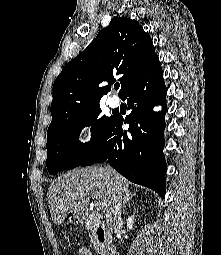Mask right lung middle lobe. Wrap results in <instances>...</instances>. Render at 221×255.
<instances>
[{
    "mask_svg": "<svg viewBox=\"0 0 221 255\" xmlns=\"http://www.w3.org/2000/svg\"><path fill=\"white\" fill-rule=\"evenodd\" d=\"M99 103L67 116L54 130L47 133V169L50 174L79 166L95 149L113 120L101 114ZM91 126L90 142L78 141L83 127Z\"/></svg>",
    "mask_w": 221,
    "mask_h": 255,
    "instance_id": "right-lung-middle-lobe-1",
    "label": "right lung middle lobe"
}]
</instances>
